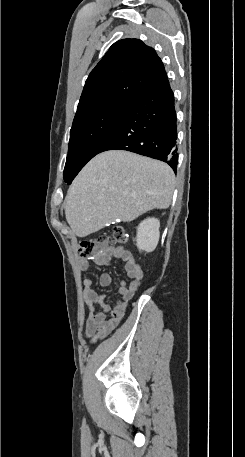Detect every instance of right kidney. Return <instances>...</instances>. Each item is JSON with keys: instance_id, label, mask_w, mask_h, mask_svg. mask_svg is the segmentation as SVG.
I'll list each match as a JSON object with an SVG mask.
<instances>
[{"instance_id": "ca27d5eb", "label": "right kidney", "mask_w": 245, "mask_h": 457, "mask_svg": "<svg viewBox=\"0 0 245 457\" xmlns=\"http://www.w3.org/2000/svg\"><path fill=\"white\" fill-rule=\"evenodd\" d=\"M158 218H145L137 226L136 245L142 251H154L158 245L160 233Z\"/></svg>"}]
</instances>
